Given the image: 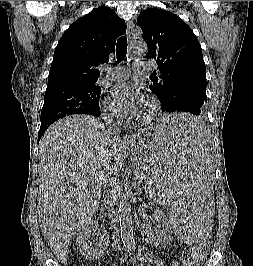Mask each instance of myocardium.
<instances>
[{"mask_svg":"<svg viewBox=\"0 0 253 266\" xmlns=\"http://www.w3.org/2000/svg\"><path fill=\"white\" fill-rule=\"evenodd\" d=\"M149 105H150V111L149 113L142 119L144 123L152 121L159 112V102L156 98L154 97H149L148 99Z\"/></svg>","mask_w":253,"mask_h":266,"instance_id":"f54148a6","label":"myocardium"}]
</instances>
